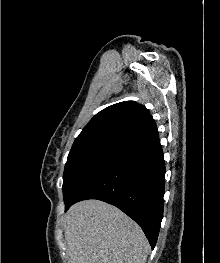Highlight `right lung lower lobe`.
Here are the masks:
<instances>
[{
    "label": "right lung lower lobe",
    "mask_w": 220,
    "mask_h": 263,
    "mask_svg": "<svg viewBox=\"0 0 220 263\" xmlns=\"http://www.w3.org/2000/svg\"><path fill=\"white\" fill-rule=\"evenodd\" d=\"M165 163L158 134L122 149L66 205L98 199L112 204L143 229L152 249L163 217Z\"/></svg>",
    "instance_id": "right-lung-lower-lobe-1"
}]
</instances>
